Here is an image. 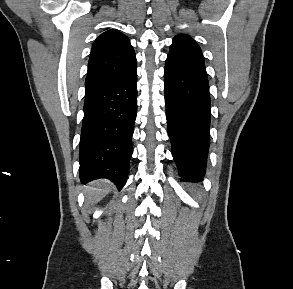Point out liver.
Masks as SVG:
<instances>
[{"instance_id": "liver-1", "label": "liver", "mask_w": 293, "mask_h": 289, "mask_svg": "<svg viewBox=\"0 0 293 289\" xmlns=\"http://www.w3.org/2000/svg\"><path fill=\"white\" fill-rule=\"evenodd\" d=\"M111 183L107 180H99L90 186H85L84 193L87 204H94L106 196L111 190Z\"/></svg>"}]
</instances>
